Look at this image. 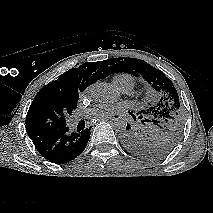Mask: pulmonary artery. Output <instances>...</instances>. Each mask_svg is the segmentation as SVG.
<instances>
[{
    "label": "pulmonary artery",
    "instance_id": "e3ab8cb5",
    "mask_svg": "<svg viewBox=\"0 0 213 213\" xmlns=\"http://www.w3.org/2000/svg\"><path fill=\"white\" fill-rule=\"evenodd\" d=\"M130 90H131V89H130V88H127V87L121 89V91L124 92V93H128ZM77 120H78L77 118H74V119L72 120V122H73V123H76Z\"/></svg>",
    "mask_w": 213,
    "mask_h": 213
}]
</instances>
